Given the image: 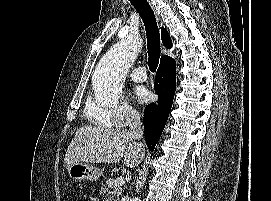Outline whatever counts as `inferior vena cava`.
Segmentation results:
<instances>
[{"label": "inferior vena cava", "instance_id": "602c4592", "mask_svg": "<svg viewBox=\"0 0 271 201\" xmlns=\"http://www.w3.org/2000/svg\"><path fill=\"white\" fill-rule=\"evenodd\" d=\"M128 133L133 139L137 140L141 139L143 136V126L140 115L137 112H132L130 114Z\"/></svg>", "mask_w": 271, "mask_h": 201}]
</instances>
